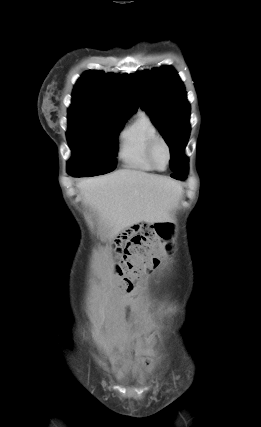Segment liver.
I'll list each match as a JSON object with an SVG mask.
<instances>
[{"label": "liver", "mask_w": 261, "mask_h": 427, "mask_svg": "<svg viewBox=\"0 0 261 427\" xmlns=\"http://www.w3.org/2000/svg\"><path fill=\"white\" fill-rule=\"evenodd\" d=\"M84 201L111 228V236L142 221L170 220L182 195L180 184L166 177L123 169L77 183Z\"/></svg>", "instance_id": "1"}]
</instances>
